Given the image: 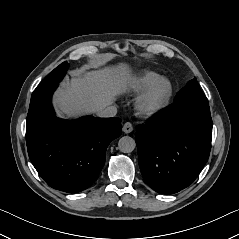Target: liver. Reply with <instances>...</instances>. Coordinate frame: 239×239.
Instances as JSON below:
<instances>
[{
    "instance_id": "1",
    "label": "liver",
    "mask_w": 239,
    "mask_h": 239,
    "mask_svg": "<svg viewBox=\"0 0 239 239\" xmlns=\"http://www.w3.org/2000/svg\"><path fill=\"white\" fill-rule=\"evenodd\" d=\"M132 75L124 66L116 69L81 72L62 84L54 102L67 116L96 113L113 103L116 96L127 89Z\"/></svg>"
}]
</instances>
